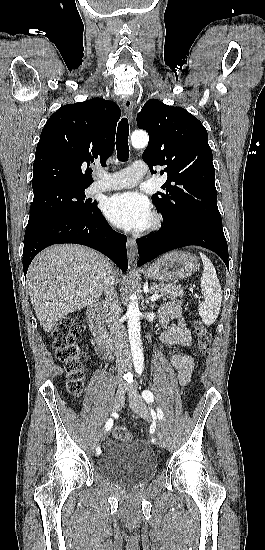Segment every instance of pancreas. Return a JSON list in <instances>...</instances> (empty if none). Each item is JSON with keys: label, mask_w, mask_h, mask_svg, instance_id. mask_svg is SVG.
<instances>
[{"label": "pancreas", "mask_w": 265, "mask_h": 550, "mask_svg": "<svg viewBox=\"0 0 265 550\" xmlns=\"http://www.w3.org/2000/svg\"><path fill=\"white\" fill-rule=\"evenodd\" d=\"M151 290L159 294L162 300L182 297L184 295L183 289L173 284H153Z\"/></svg>", "instance_id": "cf45deb5"}]
</instances>
